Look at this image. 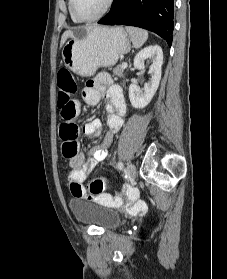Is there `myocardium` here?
<instances>
[{
    "mask_svg": "<svg viewBox=\"0 0 227 279\" xmlns=\"http://www.w3.org/2000/svg\"><path fill=\"white\" fill-rule=\"evenodd\" d=\"M113 2H114V0H106L104 8L97 15L90 17V18H82L75 11L74 0H69L70 12H71L72 16L79 22H94V21H97V20L101 19L102 17H104L110 11V9L112 8Z\"/></svg>",
    "mask_w": 227,
    "mask_h": 279,
    "instance_id": "myocardium-1",
    "label": "myocardium"
}]
</instances>
